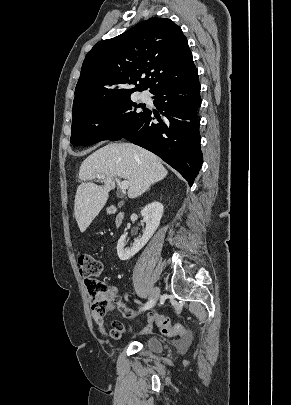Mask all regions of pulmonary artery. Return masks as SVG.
Wrapping results in <instances>:
<instances>
[{
  "mask_svg": "<svg viewBox=\"0 0 291 405\" xmlns=\"http://www.w3.org/2000/svg\"><path fill=\"white\" fill-rule=\"evenodd\" d=\"M140 97H141L142 100H147V99H148V95L145 94V93H142V94L140 95Z\"/></svg>",
  "mask_w": 291,
  "mask_h": 405,
  "instance_id": "pulmonary-artery-1",
  "label": "pulmonary artery"
}]
</instances>
